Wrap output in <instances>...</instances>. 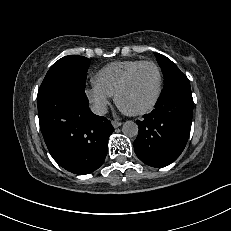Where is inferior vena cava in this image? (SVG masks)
Listing matches in <instances>:
<instances>
[{"instance_id":"1","label":"inferior vena cava","mask_w":231,"mask_h":231,"mask_svg":"<svg viewBox=\"0 0 231 231\" xmlns=\"http://www.w3.org/2000/svg\"><path fill=\"white\" fill-rule=\"evenodd\" d=\"M91 111L99 116H103L107 113V107L101 103H95L91 105Z\"/></svg>"}]
</instances>
